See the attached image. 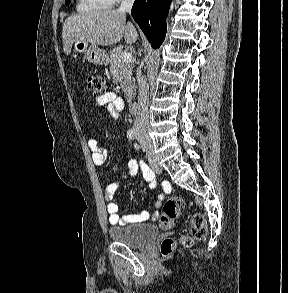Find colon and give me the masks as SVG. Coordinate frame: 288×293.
Listing matches in <instances>:
<instances>
[{"instance_id":"colon-1","label":"colon","mask_w":288,"mask_h":293,"mask_svg":"<svg viewBox=\"0 0 288 293\" xmlns=\"http://www.w3.org/2000/svg\"><path fill=\"white\" fill-rule=\"evenodd\" d=\"M86 87L88 92L98 98L106 92V81L101 76L89 75L86 79ZM183 200L180 197L174 196L168 198L162 207V212L159 217V225L162 229H170L176 225L183 211ZM207 227L203 215L195 213L191 218L190 235L184 236L179 240V243L185 247H189L194 241L202 240L206 237ZM177 246V242L171 238H165L161 242L160 250L162 255H170Z\"/></svg>"}]
</instances>
